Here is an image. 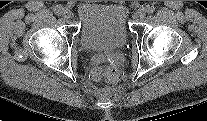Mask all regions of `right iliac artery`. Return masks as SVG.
Instances as JSON below:
<instances>
[{
  "label": "right iliac artery",
  "mask_w": 207,
  "mask_h": 121,
  "mask_svg": "<svg viewBox=\"0 0 207 121\" xmlns=\"http://www.w3.org/2000/svg\"><path fill=\"white\" fill-rule=\"evenodd\" d=\"M63 7L61 6V5H56L55 7H54V12H55V14H57V15H61L62 14V12H63Z\"/></svg>",
  "instance_id": "obj_1"
}]
</instances>
